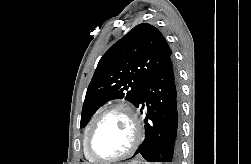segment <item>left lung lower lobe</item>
Wrapping results in <instances>:
<instances>
[{"instance_id": "0a47b994", "label": "left lung lower lobe", "mask_w": 251, "mask_h": 164, "mask_svg": "<svg viewBox=\"0 0 251 164\" xmlns=\"http://www.w3.org/2000/svg\"><path fill=\"white\" fill-rule=\"evenodd\" d=\"M146 109L145 139L135 155L175 164L179 158L180 87L172 58L145 83L136 107Z\"/></svg>"}]
</instances>
